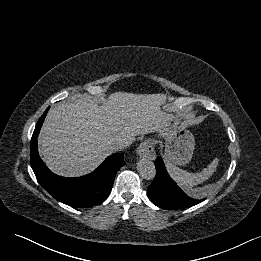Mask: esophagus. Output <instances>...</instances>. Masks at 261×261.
<instances>
[{
    "mask_svg": "<svg viewBox=\"0 0 261 261\" xmlns=\"http://www.w3.org/2000/svg\"><path fill=\"white\" fill-rule=\"evenodd\" d=\"M137 153L141 158L148 160H154L156 153L154 150V144L151 140L143 141L137 148Z\"/></svg>",
    "mask_w": 261,
    "mask_h": 261,
    "instance_id": "34e87169",
    "label": "esophagus"
}]
</instances>
